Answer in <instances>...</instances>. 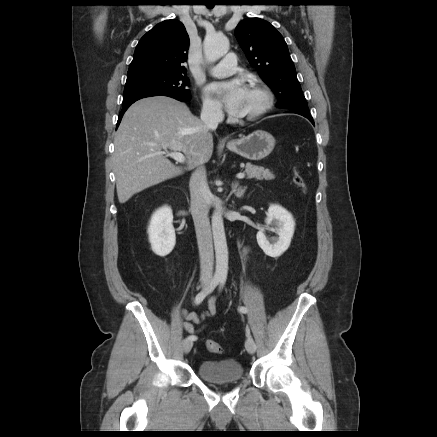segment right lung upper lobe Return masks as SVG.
Returning <instances> with one entry per match:
<instances>
[{"instance_id":"obj_1","label":"right lung upper lobe","mask_w":437,"mask_h":437,"mask_svg":"<svg viewBox=\"0 0 437 437\" xmlns=\"http://www.w3.org/2000/svg\"><path fill=\"white\" fill-rule=\"evenodd\" d=\"M189 36L175 19L165 20L147 32L136 46L128 72L159 71L186 74Z\"/></svg>"}]
</instances>
